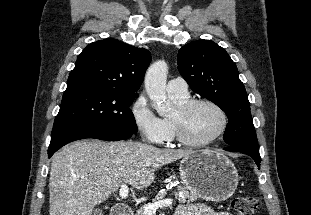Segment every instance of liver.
Returning a JSON list of instances; mask_svg holds the SVG:
<instances>
[{
	"instance_id": "6515ba94",
	"label": "liver",
	"mask_w": 311,
	"mask_h": 215,
	"mask_svg": "<svg viewBox=\"0 0 311 215\" xmlns=\"http://www.w3.org/2000/svg\"><path fill=\"white\" fill-rule=\"evenodd\" d=\"M192 151L161 149L140 142L76 141L57 152L49 178L50 215H92L123 183L150 186L155 170Z\"/></svg>"
}]
</instances>
